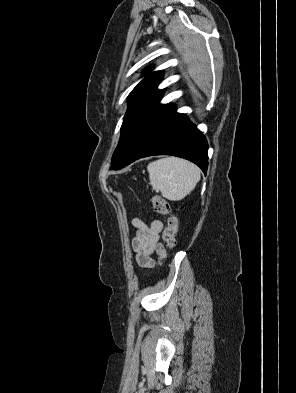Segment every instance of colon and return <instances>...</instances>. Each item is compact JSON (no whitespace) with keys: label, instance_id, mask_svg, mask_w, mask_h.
I'll use <instances>...</instances> for the list:
<instances>
[{"label":"colon","instance_id":"colon-1","mask_svg":"<svg viewBox=\"0 0 296 393\" xmlns=\"http://www.w3.org/2000/svg\"><path fill=\"white\" fill-rule=\"evenodd\" d=\"M151 201L154 211L167 217L166 227L163 231V242L169 249H173L178 229L177 218L172 212L171 205L161 196L155 195Z\"/></svg>","mask_w":296,"mask_h":393}]
</instances>
